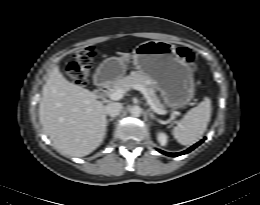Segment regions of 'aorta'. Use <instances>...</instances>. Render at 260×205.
<instances>
[{"instance_id":"1","label":"aorta","mask_w":260,"mask_h":205,"mask_svg":"<svg viewBox=\"0 0 260 205\" xmlns=\"http://www.w3.org/2000/svg\"><path fill=\"white\" fill-rule=\"evenodd\" d=\"M129 112L131 115H133L134 117H139L141 114H142V109L140 106L138 105H135V106H132L130 109H129Z\"/></svg>"}]
</instances>
